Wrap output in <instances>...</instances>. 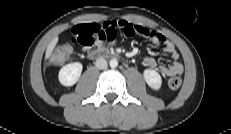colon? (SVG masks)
Returning a JSON list of instances; mask_svg holds the SVG:
<instances>
[{
    "label": "colon",
    "instance_id": "colon-1",
    "mask_svg": "<svg viewBox=\"0 0 231 134\" xmlns=\"http://www.w3.org/2000/svg\"><path fill=\"white\" fill-rule=\"evenodd\" d=\"M70 55V48L63 46L54 51L51 55L50 62L53 65H61ZM182 80L178 76H173L168 80V86L172 90H176L181 86Z\"/></svg>",
    "mask_w": 231,
    "mask_h": 134
}]
</instances>
